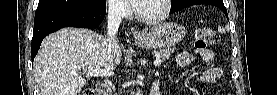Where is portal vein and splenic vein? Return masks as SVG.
I'll list each match as a JSON object with an SVG mask.
<instances>
[{
  "mask_svg": "<svg viewBox=\"0 0 277 95\" xmlns=\"http://www.w3.org/2000/svg\"><path fill=\"white\" fill-rule=\"evenodd\" d=\"M161 62H162L161 59L157 58L154 61V65L155 66H160ZM110 75H112V72H109V70L101 69V68H95L92 71L86 72V76H88V77H92V76L107 77V76H110Z\"/></svg>",
  "mask_w": 277,
  "mask_h": 95,
  "instance_id": "obj_1",
  "label": "portal vein and splenic vein"
}]
</instances>
